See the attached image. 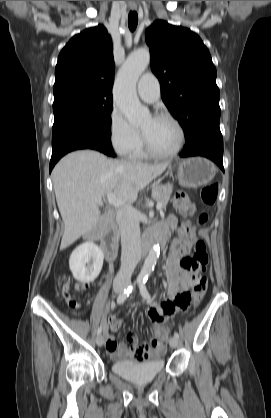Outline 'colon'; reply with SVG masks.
<instances>
[{"mask_svg":"<svg viewBox=\"0 0 271 418\" xmlns=\"http://www.w3.org/2000/svg\"><path fill=\"white\" fill-rule=\"evenodd\" d=\"M217 196L218 185L215 183L206 185L201 189L200 197L202 202L206 205H213L217 200ZM174 206L180 214L187 217L191 216L195 211V206L192 203L188 193L183 190H180L175 194ZM207 218L208 216L206 213H201L198 217V223L204 224L207 221ZM184 232L188 237L191 236L188 227L184 228ZM208 261L209 258L206 251V245L202 240L196 241L192 257L186 256L181 259V267L183 270L190 272L195 277L196 283L194 286V293L196 298L202 297L206 291L207 279L202 275V273L206 270ZM60 295L69 303L72 308H78L79 304L72 297L68 282L62 283L60 287ZM182 303L186 305L188 300L183 299Z\"/></svg>","mask_w":271,"mask_h":418,"instance_id":"colon-1","label":"colon"}]
</instances>
